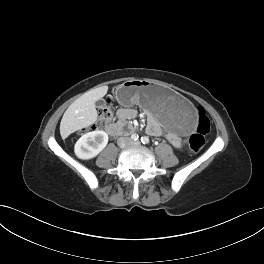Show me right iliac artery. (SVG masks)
<instances>
[{
    "label": "right iliac artery",
    "mask_w": 264,
    "mask_h": 264,
    "mask_svg": "<svg viewBox=\"0 0 264 264\" xmlns=\"http://www.w3.org/2000/svg\"><path fill=\"white\" fill-rule=\"evenodd\" d=\"M138 138H139V136L136 133L131 135V139L134 140V141H137Z\"/></svg>",
    "instance_id": "right-iliac-artery-1"
}]
</instances>
